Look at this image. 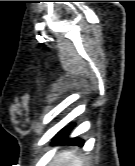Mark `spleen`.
I'll return each mask as SVG.
<instances>
[{
  "label": "spleen",
  "mask_w": 135,
  "mask_h": 166,
  "mask_svg": "<svg viewBox=\"0 0 135 166\" xmlns=\"http://www.w3.org/2000/svg\"><path fill=\"white\" fill-rule=\"evenodd\" d=\"M49 166H83V159L74 151H62L51 161Z\"/></svg>",
  "instance_id": "obj_1"
}]
</instances>
